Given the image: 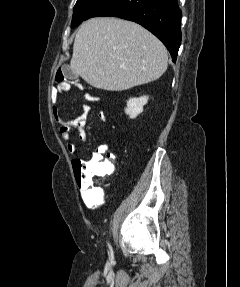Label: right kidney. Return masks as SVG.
Returning <instances> with one entry per match:
<instances>
[{
	"mask_svg": "<svg viewBox=\"0 0 240 287\" xmlns=\"http://www.w3.org/2000/svg\"><path fill=\"white\" fill-rule=\"evenodd\" d=\"M148 102V96H142L139 98H130L127 101V108L125 113L129 115L131 119L136 118L143 111L144 105Z\"/></svg>",
	"mask_w": 240,
	"mask_h": 287,
	"instance_id": "right-kidney-1",
	"label": "right kidney"
}]
</instances>
